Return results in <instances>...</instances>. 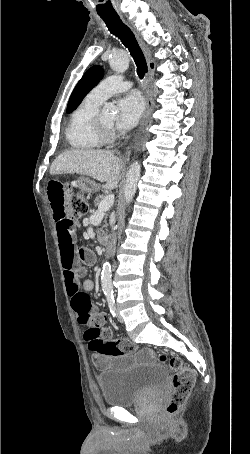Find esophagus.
Returning <instances> with one entry per match:
<instances>
[{"label": "esophagus", "instance_id": "34e87169", "mask_svg": "<svg viewBox=\"0 0 250 454\" xmlns=\"http://www.w3.org/2000/svg\"><path fill=\"white\" fill-rule=\"evenodd\" d=\"M137 40L139 42V45L144 52V55L146 57L147 63H148V73L146 76V81H145V96H146V111L143 119V125L147 122V120L150 117V114L153 109V102H152V80L154 76V63L151 59L150 53L144 42L137 37Z\"/></svg>", "mask_w": 250, "mask_h": 454}]
</instances>
